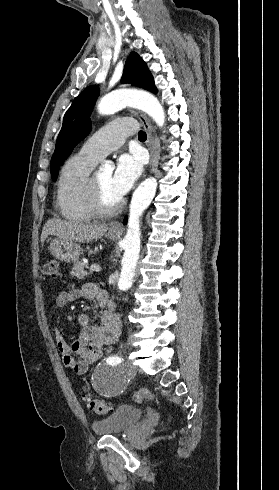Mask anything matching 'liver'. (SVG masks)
<instances>
[{"instance_id": "1", "label": "liver", "mask_w": 279, "mask_h": 490, "mask_svg": "<svg viewBox=\"0 0 279 490\" xmlns=\"http://www.w3.org/2000/svg\"><path fill=\"white\" fill-rule=\"evenodd\" d=\"M108 230V224H74V222H64L58 218H52L44 224L41 234V244L48 236H57L60 240H70V242H92L102 238Z\"/></svg>"}]
</instances>
